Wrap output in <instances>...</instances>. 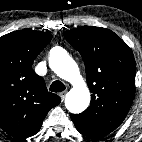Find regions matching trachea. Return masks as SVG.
<instances>
[{
	"label": "trachea",
	"mask_w": 142,
	"mask_h": 142,
	"mask_svg": "<svg viewBox=\"0 0 142 142\" xmlns=\"http://www.w3.org/2000/svg\"><path fill=\"white\" fill-rule=\"evenodd\" d=\"M49 90L56 93L62 92L63 90H65V85L61 81L57 80L51 84Z\"/></svg>",
	"instance_id": "obj_1"
}]
</instances>
